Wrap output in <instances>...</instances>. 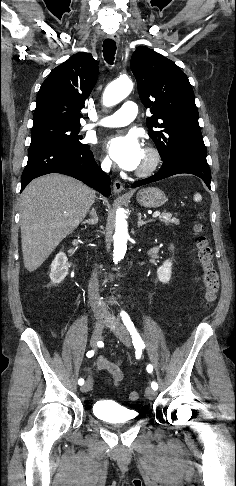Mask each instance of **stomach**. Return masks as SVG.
<instances>
[{"label":"stomach","mask_w":236,"mask_h":486,"mask_svg":"<svg viewBox=\"0 0 236 486\" xmlns=\"http://www.w3.org/2000/svg\"><path fill=\"white\" fill-rule=\"evenodd\" d=\"M137 202L147 208H157L166 202L164 192L157 187H147L139 190L136 195Z\"/></svg>","instance_id":"stomach-1"}]
</instances>
